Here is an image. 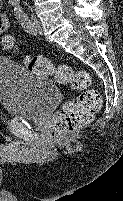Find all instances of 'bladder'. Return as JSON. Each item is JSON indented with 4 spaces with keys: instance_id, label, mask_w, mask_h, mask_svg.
I'll return each mask as SVG.
<instances>
[{
    "instance_id": "31cf9c89",
    "label": "bladder",
    "mask_w": 123,
    "mask_h": 201,
    "mask_svg": "<svg viewBox=\"0 0 123 201\" xmlns=\"http://www.w3.org/2000/svg\"><path fill=\"white\" fill-rule=\"evenodd\" d=\"M60 101L57 85L10 57L0 56V107L16 118L42 121Z\"/></svg>"
}]
</instances>
